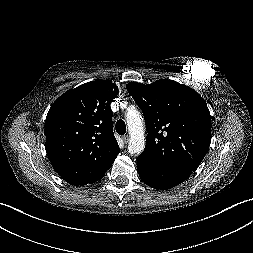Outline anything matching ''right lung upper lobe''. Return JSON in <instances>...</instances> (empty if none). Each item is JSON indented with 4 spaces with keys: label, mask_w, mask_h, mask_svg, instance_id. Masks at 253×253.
Returning a JSON list of instances; mask_svg holds the SVG:
<instances>
[{
    "label": "right lung upper lobe",
    "mask_w": 253,
    "mask_h": 253,
    "mask_svg": "<svg viewBox=\"0 0 253 253\" xmlns=\"http://www.w3.org/2000/svg\"><path fill=\"white\" fill-rule=\"evenodd\" d=\"M117 94L114 83L98 79L65 92L50 107L46 152L66 182L78 186L100 180L119 154L110 107Z\"/></svg>",
    "instance_id": "cb5924a9"
}]
</instances>
